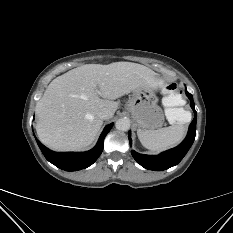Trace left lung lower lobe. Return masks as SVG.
Here are the masks:
<instances>
[{
	"label": "left lung lower lobe",
	"instance_id": "obj_1",
	"mask_svg": "<svg viewBox=\"0 0 233 233\" xmlns=\"http://www.w3.org/2000/svg\"><path fill=\"white\" fill-rule=\"evenodd\" d=\"M185 92L188 98L190 99V105L195 114L194 119L189 126V131L186 138L177 147L168 150L166 152H163L157 156L143 155L135 151H131L133 158L142 167L149 170L162 171L172 166H175L183 159V157L186 155L191 145L193 144L196 135L197 112L195 110L193 96L187 90H185ZM129 138H130V132H129ZM130 144H131V139H130Z\"/></svg>",
	"mask_w": 233,
	"mask_h": 233
}]
</instances>
